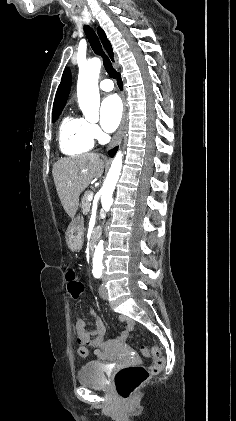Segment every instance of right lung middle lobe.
<instances>
[{
	"mask_svg": "<svg viewBox=\"0 0 236 421\" xmlns=\"http://www.w3.org/2000/svg\"><path fill=\"white\" fill-rule=\"evenodd\" d=\"M63 109H58V110H54L53 111V122H55L57 119H58V117H59V115L61 114V111H62Z\"/></svg>",
	"mask_w": 236,
	"mask_h": 421,
	"instance_id": "dd1d6c3e",
	"label": "right lung middle lobe"
}]
</instances>
